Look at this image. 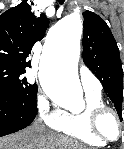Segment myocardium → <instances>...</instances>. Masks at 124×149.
I'll list each match as a JSON object with an SVG mask.
<instances>
[{
  "mask_svg": "<svg viewBox=\"0 0 124 149\" xmlns=\"http://www.w3.org/2000/svg\"><path fill=\"white\" fill-rule=\"evenodd\" d=\"M111 115L117 122L118 134L115 138L108 137L101 128L102 119ZM89 124L92 133L100 140L105 143H114L117 142L124 134V125L122 119L118 115L117 111L107 105H100L90 109L89 111Z\"/></svg>",
  "mask_w": 124,
  "mask_h": 149,
  "instance_id": "f54148a6",
  "label": "myocardium"
}]
</instances>
